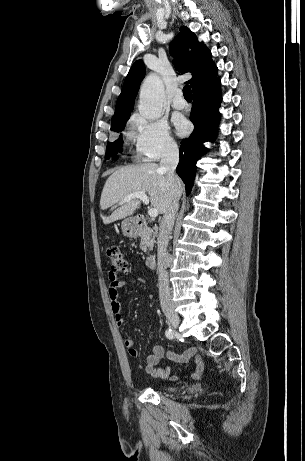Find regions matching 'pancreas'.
Segmentation results:
<instances>
[{
  "label": "pancreas",
  "mask_w": 305,
  "mask_h": 461,
  "mask_svg": "<svg viewBox=\"0 0 305 461\" xmlns=\"http://www.w3.org/2000/svg\"><path fill=\"white\" fill-rule=\"evenodd\" d=\"M157 234L156 228L144 231L141 235L140 249L147 253L153 249L155 237Z\"/></svg>",
  "instance_id": "1"
}]
</instances>
